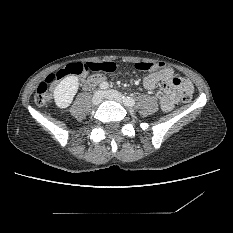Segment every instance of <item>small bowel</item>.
<instances>
[{"label":"small bowel","mask_w":233,"mask_h":233,"mask_svg":"<svg viewBox=\"0 0 233 233\" xmlns=\"http://www.w3.org/2000/svg\"><path fill=\"white\" fill-rule=\"evenodd\" d=\"M107 63L115 64L113 61ZM103 82L106 81L104 80ZM143 86L148 91H155V97L164 112L172 111L184 92L193 93L191 81L175 75L173 69L168 66H164L160 70L151 71L144 77Z\"/></svg>","instance_id":"1"}]
</instances>
